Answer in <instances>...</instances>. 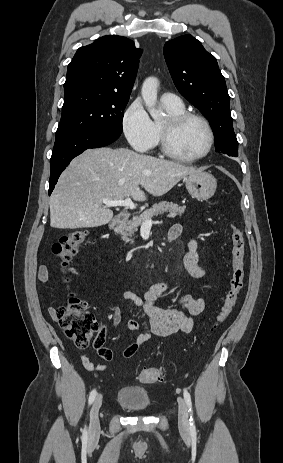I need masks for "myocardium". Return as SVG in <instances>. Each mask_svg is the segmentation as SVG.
<instances>
[{
    "mask_svg": "<svg viewBox=\"0 0 283 463\" xmlns=\"http://www.w3.org/2000/svg\"><path fill=\"white\" fill-rule=\"evenodd\" d=\"M191 119L198 120L204 125L208 135V144L204 152L200 155L194 157H186L179 154L173 148L172 137L182 124ZM159 141L161 150L166 156L179 162L194 163L204 159L210 154L214 146L215 136L212 126L206 117L196 112L184 111L180 114L169 115L163 122H161Z\"/></svg>",
    "mask_w": 283,
    "mask_h": 463,
    "instance_id": "f54148a6",
    "label": "myocardium"
}]
</instances>
